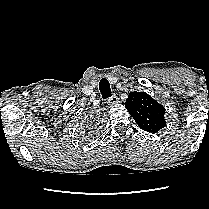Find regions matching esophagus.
I'll use <instances>...</instances> for the list:
<instances>
[{"label": "esophagus", "mask_w": 209, "mask_h": 209, "mask_svg": "<svg viewBox=\"0 0 209 209\" xmlns=\"http://www.w3.org/2000/svg\"><path fill=\"white\" fill-rule=\"evenodd\" d=\"M118 102H119V99H118V97H117L116 95L111 96V97L107 100V103H108L109 105H114V104H116V103H118Z\"/></svg>", "instance_id": "esophagus-1"}]
</instances>
